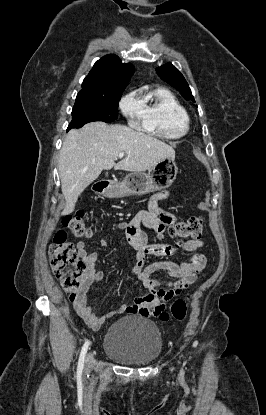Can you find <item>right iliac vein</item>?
<instances>
[{"instance_id": "obj_1", "label": "right iliac vein", "mask_w": 266, "mask_h": 415, "mask_svg": "<svg viewBox=\"0 0 266 415\" xmlns=\"http://www.w3.org/2000/svg\"><path fill=\"white\" fill-rule=\"evenodd\" d=\"M94 364V357L92 353H89L86 357V368L89 369Z\"/></svg>"}]
</instances>
